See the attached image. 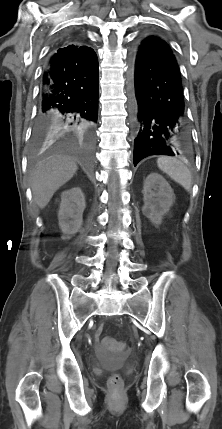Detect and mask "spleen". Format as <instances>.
<instances>
[{
  "instance_id": "3e777b00",
  "label": "spleen",
  "mask_w": 222,
  "mask_h": 429,
  "mask_svg": "<svg viewBox=\"0 0 222 429\" xmlns=\"http://www.w3.org/2000/svg\"><path fill=\"white\" fill-rule=\"evenodd\" d=\"M157 165L160 170L179 183L185 190L190 191L192 175L183 162L176 158L162 156L157 159Z\"/></svg>"
}]
</instances>
